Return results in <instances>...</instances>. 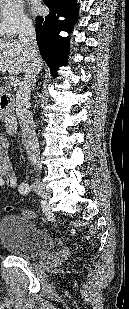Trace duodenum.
<instances>
[{"label": "duodenum", "instance_id": "1", "mask_svg": "<svg viewBox=\"0 0 129 309\" xmlns=\"http://www.w3.org/2000/svg\"><path fill=\"white\" fill-rule=\"evenodd\" d=\"M0 113L6 131L13 134L17 129V118L13 111L12 102L2 100L0 102Z\"/></svg>", "mask_w": 129, "mask_h": 309}]
</instances>
